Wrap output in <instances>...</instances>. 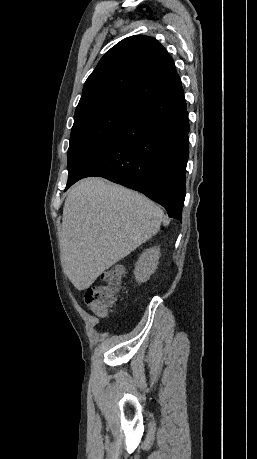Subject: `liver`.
Wrapping results in <instances>:
<instances>
[{
	"label": "liver",
	"mask_w": 257,
	"mask_h": 459,
	"mask_svg": "<svg viewBox=\"0 0 257 459\" xmlns=\"http://www.w3.org/2000/svg\"><path fill=\"white\" fill-rule=\"evenodd\" d=\"M163 211L145 196L101 178H88L68 193L60 233L61 262L78 290L152 238Z\"/></svg>",
	"instance_id": "liver-1"
}]
</instances>
